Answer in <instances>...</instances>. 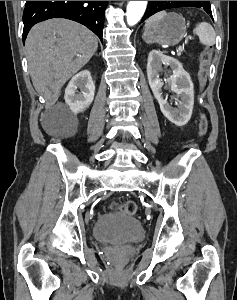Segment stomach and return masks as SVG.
I'll use <instances>...</instances> for the list:
<instances>
[{
  "label": "stomach",
  "instance_id": "stomach-1",
  "mask_svg": "<svg viewBox=\"0 0 237 300\" xmlns=\"http://www.w3.org/2000/svg\"><path fill=\"white\" fill-rule=\"evenodd\" d=\"M186 35L185 19L178 13H167L166 17L145 29L142 39L146 43L176 45Z\"/></svg>",
  "mask_w": 237,
  "mask_h": 300
}]
</instances>
